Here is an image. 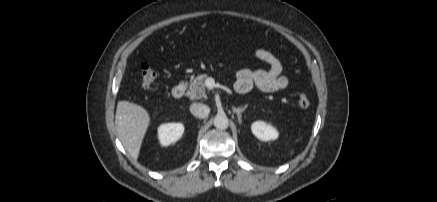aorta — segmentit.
<instances>
[{"mask_svg": "<svg viewBox=\"0 0 437 202\" xmlns=\"http://www.w3.org/2000/svg\"><path fill=\"white\" fill-rule=\"evenodd\" d=\"M229 125L228 118L225 114H217L214 118V126L218 129H227Z\"/></svg>", "mask_w": 437, "mask_h": 202, "instance_id": "1", "label": "aorta"}]
</instances>
